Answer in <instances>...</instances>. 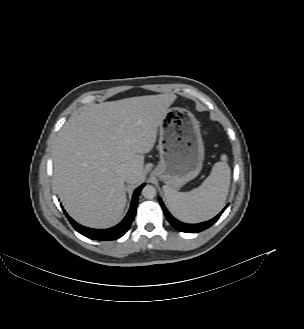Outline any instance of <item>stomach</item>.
Segmentation results:
<instances>
[{
  "label": "stomach",
  "mask_w": 304,
  "mask_h": 329,
  "mask_svg": "<svg viewBox=\"0 0 304 329\" xmlns=\"http://www.w3.org/2000/svg\"><path fill=\"white\" fill-rule=\"evenodd\" d=\"M160 162L153 174L171 188L198 176L204 160L199 121L187 109L167 110L159 124Z\"/></svg>",
  "instance_id": "1"
}]
</instances>
